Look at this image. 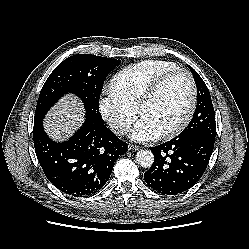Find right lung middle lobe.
<instances>
[{
	"instance_id": "obj_1",
	"label": "right lung middle lobe",
	"mask_w": 249,
	"mask_h": 249,
	"mask_svg": "<svg viewBox=\"0 0 249 249\" xmlns=\"http://www.w3.org/2000/svg\"><path fill=\"white\" fill-rule=\"evenodd\" d=\"M119 60L77 54L62 61L49 75L40 92L34 122H42L47 111L67 93L77 95L84 103L86 118L103 125L99 98L104 80Z\"/></svg>"
}]
</instances>
